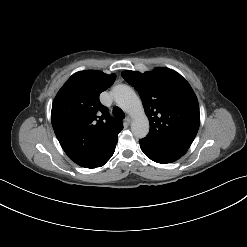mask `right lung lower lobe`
<instances>
[{"mask_svg":"<svg viewBox=\"0 0 247 247\" xmlns=\"http://www.w3.org/2000/svg\"><path fill=\"white\" fill-rule=\"evenodd\" d=\"M118 140V135L105 143L99 151L96 152L95 157L86 163L85 168H96L103 166L113 155Z\"/></svg>","mask_w":247,"mask_h":247,"instance_id":"right-lung-lower-lobe-1","label":"right lung lower lobe"}]
</instances>
